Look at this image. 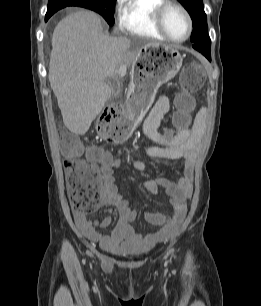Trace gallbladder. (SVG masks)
<instances>
[{
    "instance_id": "gallbladder-1",
    "label": "gallbladder",
    "mask_w": 261,
    "mask_h": 306,
    "mask_svg": "<svg viewBox=\"0 0 261 306\" xmlns=\"http://www.w3.org/2000/svg\"><path fill=\"white\" fill-rule=\"evenodd\" d=\"M107 84L111 88L112 96L117 97L120 93V87L118 86L117 82L113 79H108Z\"/></svg>"
}]
</instances>
